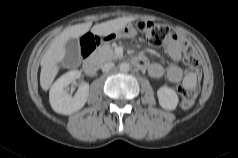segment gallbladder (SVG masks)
Instances as JSON below:
<instances>
[{
	"mask_svg": "<svg viewBox=\"0 0 238 158\" xmlns=\"http://www.w3.org/2000/svg\"><path fill=\"white\" fill-rule=\"evenodd\" d=\"M66 54L64 64L66 66H77L81 63L80 46L76 38H70L65 44Z\"/></svg>",
	"mask_w": 238,
	"mask_h": 158,
	"instance_id": "bac80fb5",
	"label": "gallbladder"
}]
</instances>
